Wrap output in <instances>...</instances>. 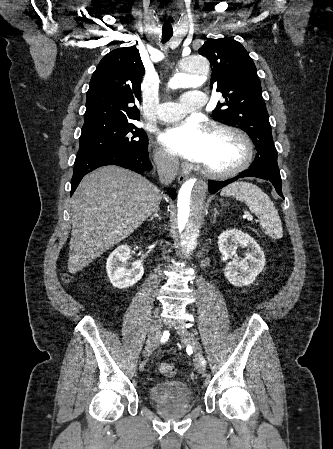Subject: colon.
Masks as SVG:
<instances>
[{
  "instance_id": "obj_1",
  "label": "colon",
  "mask_w": 333,
  "mask_h": 449,
  "mask_svg": "<svg viewBox=\"0 0 333 449\" xmlns=\"http://www.w3.org/2000/svg\"><path fill=\"white\" fill-rule=\"evenodd\" d=\"M64 280L66 282H69L70 277L68 275H65L64 276ZM159 371H160L161 374H163V375H165L167 377H173V376L176 375V372H177L176 367L174 365H172V364H169V363L161 364L159 366Z\"/></svg>"
}]
</instances>
